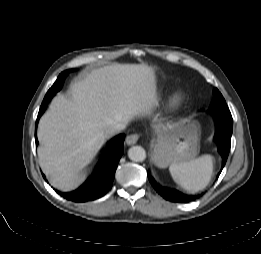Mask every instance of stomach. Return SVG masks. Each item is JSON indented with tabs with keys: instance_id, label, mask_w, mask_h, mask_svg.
<instances>
[{
	"instance_id": "stomach-1",
	"label": "stomach",
	"mask_w": 261,
	"mask_h": 254,
	"mask_svg": "<svg viewBox=\"0 0 261 254\" xmlns=\"http://www.w3.org/2000/svg\"><path fill=\"white\" fill-rule=\"evenodd\" d=\"M155 134L153 160L159 167L188 162L198 153L200 126L195 120L183 119L157 128Z\"/></svg>"
}]
</instances>
